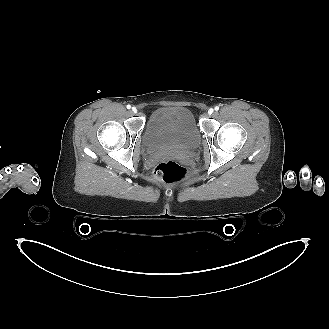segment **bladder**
Wrapping results in <instances>:
<instances>
[{
  "label": "bladder",
  "mask_w": 329,
  "mask_h": 329,
  "mask_svg": "<svg viewBox=\"0 0 329 329\" xmlns=\"http://www.w3.org/2000/svg\"><path fill=\"white\" fill-rule=\"evenodd\" d=\"M142 145L152 156L192 153L200 145V133L193 112L181 106L155 109L145 125Z\"/></svg>",
  "instance_id": "obj_1"
}]
</instances>
